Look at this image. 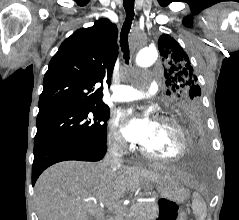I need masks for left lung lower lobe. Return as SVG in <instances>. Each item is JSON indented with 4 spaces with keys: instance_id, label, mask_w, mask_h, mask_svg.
<instances>
[{
    "instance_id": "0a47b994",
    "label": "left lung lower lobe",
    "mask_w": 239,
    "mask_h": 220,
    "mask_svg": "<svg viewBox=\"0 0 239 220\" xmlns=\"http://www.w3.org/2000/svg\"><path fill=\"white\" fill-rule=\"evenodd\" d=\"M176 119L186 130L188 136L190 145L188 162L196 166L202 165L206 147L202 109L191 108L183 110L176 115Z\"/></svg>"
}]
</instances>
